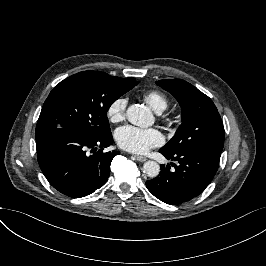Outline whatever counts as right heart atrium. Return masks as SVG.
Masks as SVG:
<instances>
[{
    "label": "right heart atrium",
    "instance_id": "obj_1",
    "mask_svg": "<svg viewBox=\"0 0 266 266\" xmlns=\"http://www.w3.org/2000/svg\"><path fill=\"white\" fill-rule=\"evenodd\" d=\"M128 106V98L126 96H118L114 98L106 108V116L110 123H118L126 117Z\"/></svg>",
    "mask_w": 266,
    "mask_h": 266
}]
</instances>
